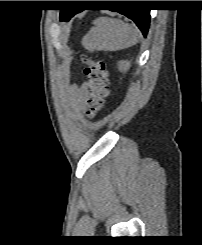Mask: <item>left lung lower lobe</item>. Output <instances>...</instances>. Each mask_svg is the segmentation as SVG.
<instances>
[{"label":"left lung lower lobe","mask_w":202,"mask_h":245,"mask_svg":"<svg viewBox=\"0 0 202 245\" xmlns=\"http://www.w3.org/2000/svg\"><path fill=\"white\" fill-rule=\"evenodd\" d=\"M125 4L131 6H139L141 3L139 1H126ZM81 9H65L61 10V21H68L71 17L75 14L81 12ZM111 11L119 12L127 16L128 18L132 19L139 29L142 31L143 35L146 36L148 29H149V22H150V10L139 8V7H132V8H123V9H113Z\"/></svg>","instance_id":"obj_1"}]
</instances>
